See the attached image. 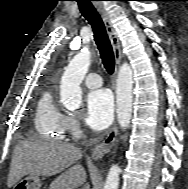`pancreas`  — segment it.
I'll return each mask as SVG.
<instances>
[{
	"mask_svg": "<svg viewBox=\"0 0 188 189\" xmlns=\"http://www.w3.org/2000/svg\"><path fill=\"white\" fill-rule=\"evenodd\" d=\"M61 178H58L57 180H55L51 185H50V189H57L58 184L60 183Z\"/></svg>",
	"mask_w": 188,
	"mask_h": 189,
	"instance_id": "pancreas-1",
	"label": "pancreas"
}]
</instances>
